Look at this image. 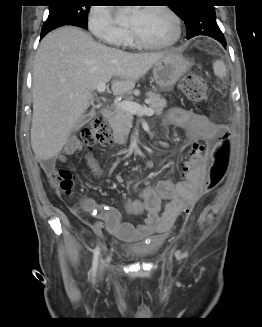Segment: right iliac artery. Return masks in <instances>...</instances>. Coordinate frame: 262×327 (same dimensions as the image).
<instances>
[{"label": "right iliac artery", "instance_id": "82829eb1", "mask_svg": "<svg viewBox=\"0 0 262 327\" xmlns=\"http://www.w3.org/2000/svg\"><path fill=\"white\" fill-rule=\"evenodd\" d=\"M93 253H94V255H93L91 273H92V277H95L96 271H97V266H98L99 253H100V249L98 246L94 249Z\"/></svg>", "mask_w": 262, "mask_h": 327}]
</instances>
